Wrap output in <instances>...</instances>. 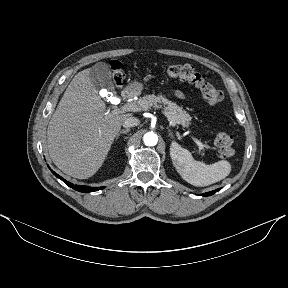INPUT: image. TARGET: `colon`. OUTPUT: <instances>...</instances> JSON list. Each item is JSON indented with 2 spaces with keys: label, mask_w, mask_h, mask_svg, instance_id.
<instances>
[{
  "label": "colon",
  "mask_w": 288,
  "mask_h": 288,
  "mask_svg": "<svg viewBox=\"0 0 288 288\" xmlns=\"http://www.w3.org/2000/svg\"><path fill=\"white\" fill-rule=\"evenodd\" d=\"M111 68L115 83L118 86L122 85L124 74L121 65L118 62H112ZM165 72L171 78L194 85L210 105H216L223 100L222 91L206 82L201 74L190 65H169L165 68ZM214 144L220 158H229L233 155L232 138L228 134L217 131Z\"/></svg>",
  "instance_id": "5ec220e1"
}]
</instances>
